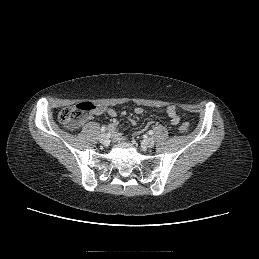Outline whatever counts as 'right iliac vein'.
Returning <instances> with one entry per match:
<instances>
[{"label":"right iliac vein","instance_id":"63e3f726","mask_svg":"<svg viewBox=\"0 0 259 259\" xmlns=\"http://www.w3.org/2000/svg\"><path fill=\"white\" fill-rule=\"evenodd\" d=\"M99 141L104 144V145H107L109 143V138L107 136L106 133H102L99 137Z\"/></svg>","mask_w":259,"mask_h":259}]
</instances>
